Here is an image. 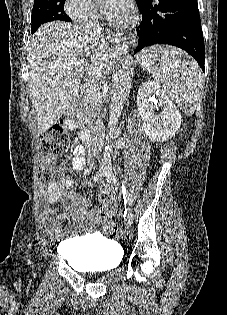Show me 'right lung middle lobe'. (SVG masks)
Listing matches in <instances>:
<instances>
[{
    "label": "right lung middle lobe",
    "mask_w": 227,
    "mask_h": 315,
    "mask_svg": "<svg viewBox=\"0 0 227 315\" xmlns=\"http://www.w3.org/2000/svg\"><path fill=\"white\" fill-rule=\"evenodd\" d=\"M65 0H34L31 15V33H34L41 24L54 21H71L64 13Z\"/></svg>",
    "instance_id": "obj_1"
}]
</instances>
